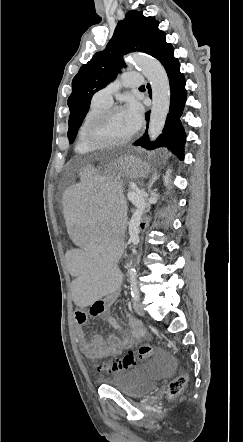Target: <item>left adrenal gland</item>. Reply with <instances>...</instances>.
Masks as SVG:
<instances>
[{"mask_svg":"<svg viewBox=\"0 0 243 442\" xmlns=\"http://www.w3.org/2000/svg\"><path fill=\"white\" fill-rule=\"evenodd\" d=\"M158 174H157V172H155L153 175H152V178L150 179V181H149V183H148V189H150L152 186H153V184L155 183V181L158 179Z\"/></svg>","mask_w":243,"mask_h":442,"instance_id":"a2214340","label":"left adrenal gland"}]
</instances>
